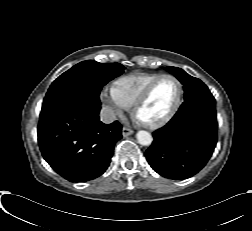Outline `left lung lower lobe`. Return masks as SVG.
Returning <instances> with one entry per match:
<instances>
[{
    "instance_id": "1",
    "label": "left lung lower lobe",
    "mask_w": 252,
    "mask_h": 231,
    "mask_svg": "<svg viewBox=\"0 0 252 231\" xmlns=\"http://www.w3.org/2000/svg\"><path fill=\"white\" fill-rule=\"evenodd\" d=\"M217 126L214 97L189 98L164 127L153 133L146 159L161 176L189 178L211 157L217 143Z\"/></svg>"
}]
</instances>
